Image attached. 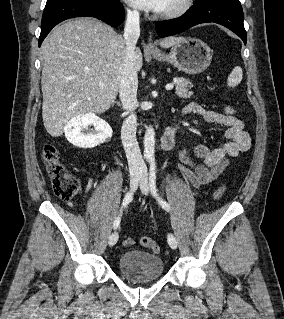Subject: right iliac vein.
<instances>
[{"label": "right iliac vein", "mask_w": 284, "mask_h": 319, "mask_svg": "<svg viewBox=\"0 0 284 319\" xmlns=\"http://www.w3.org/2000/svg\"><path fill=\"white\" fill-rule=\"evenodd\" d=\"M140 178V173L138 171H133L130 174V187L132 190H135L138 186V181ZM119 235L117 232H113L110 236H109V246H114L117 241H118Z\"/></svg>", "instance_id": "obj_1"}]
</instances>
